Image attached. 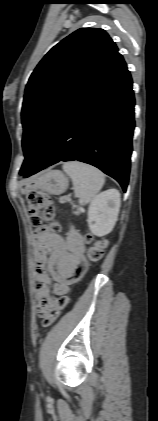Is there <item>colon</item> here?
Masks as SVG:
<instances>
[{"label": "colon", "instance_id": "obj_1", "mask_svg": "<svg viewBox=\"0 0 158 421\" xmlns=\"http://www.w3.org/2000/svg\"><path fill=\"white\" fill-rule=\"evenodd\" d=\"M27 204L30 222L37 232L43 228L45 222L53 221L56 211L51 197L46 193L41 191L30 192L27 197ZM50 228L53 232L60 231V225L57 222H52ZM88 241H92V237H88ZM105 247V240L100 239L96 241L88 251L89 259L93 262L99 261L104 254ZM68 303L69 298L67 296L58 298L54 307L42 312V325L44 327H49L54 324Z\"/></svg>", "mask_w": 158, "mask_h": 421}]
</instances>
